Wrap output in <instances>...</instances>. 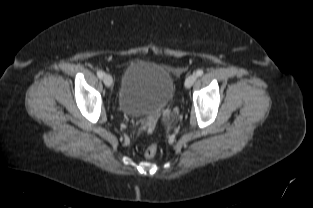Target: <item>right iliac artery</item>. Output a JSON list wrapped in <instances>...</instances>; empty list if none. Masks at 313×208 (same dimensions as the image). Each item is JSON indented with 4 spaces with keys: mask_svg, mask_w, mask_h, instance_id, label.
Returning <instances> with one entry per match:
<instances>
[{
    "mask_svg": "<svg viewBox=\"0 0 313 208\" xmlns=\"http://www.w3.org/2000/svg\"><path fill=\"white\" fill-rule=\"evenodd\" d=\"M97 76H98L100 79H102L103 76H104V72H103L102 70H98V71H97Z\"/></svg>",
    "mask_w": 313,
    "mask_h": 208,
    "instance_id": "right-iliac-artery-1",
    "label": "right iliac artery"
}]
</instances>
